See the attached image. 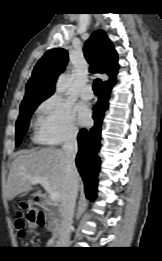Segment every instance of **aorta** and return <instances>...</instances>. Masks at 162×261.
<instances>
[{
  "mask_svg": "<svg viewBox=\"0 0 162 261\" xmlns=\"http://www.w3.org/2000/svg\"><path fill=\"white\" fill-rule=\"evenodd\" d=\"M70 75L67 73H63L60 75V77L58 78L57 84H56V93H63L65 92V90L68 87V84L70 82Z\"/></svg>",
  "mask_w": 162,
  "mask_h": 261,
  "instance_id": "1",
  "label": "aorta"
}]
</instances>
